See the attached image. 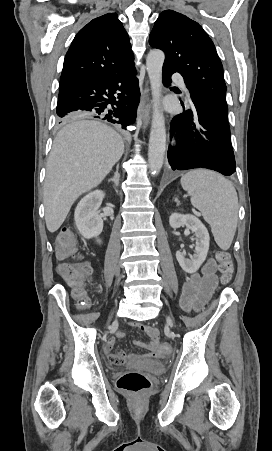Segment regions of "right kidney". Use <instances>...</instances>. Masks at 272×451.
Returning <instances> with one entry per match:
<instances>
[{"label":"right kidney","instance_id":"right-kidney-1","mask_svg":"<svg viewBox=\"0 0 272 451\" xmlns=\"http://www.w3.org/2000/svg\"><path fill=\"white\" fill-rule=\"evenodd\" d=\"M105 194L101 190H95L84 196L77 204L74 214L75 224L83 237H96L103 229V220L99 216V208Z\"/></svg>","mask_w":272,"mask_h":451}]
</instances>
